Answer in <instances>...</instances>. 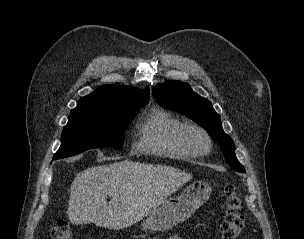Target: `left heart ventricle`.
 <instances>
[{
    "instance_id": "left-heart-ventricle-1",
    "label": "left heart ventricle",
    "mask_w": 304,
    "mask_h": 239,
    "mask_svg": "<svg viewBox=\"0 0 304 239\" xmlns=\"http://www.w3.org/2000/svg\"><path fill=\"white\" fill-rule=\"evenodd\" d=\"M188 140L196 148H204L206 145L204 137L195 131H192L188 134Z\"/></svg>"
}]
</instances>
